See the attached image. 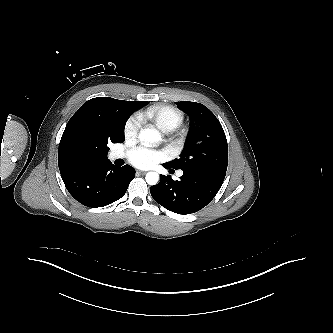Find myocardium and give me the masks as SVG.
I'll list each match as a JSON object with an SVG mask.
<instances>
[{"mask_svg": "<svg viewBox=\"0 0 333 333\" xmlns=\"http://www.w3.org/2000/svg\"><path fill=\"white\" fill-rule=\"evenodd\" d=\"M168 134L170 135H174V139H173V146L174 147H178L184 138V135L182 132H176V129L174 131L168 132Z\"/></svg>", "mask_w": 333, "mask_h": 333, "instance_id": "f54148a6", "label": "myocardium"}]
</instances>
